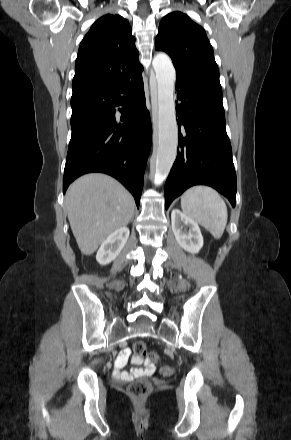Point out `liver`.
<instances>
[{"mask_svg":"<svg viewBox=\"0 0 291 440\" xmlns=\"http://www.w3.org/2000/svg\"><path fill=\"white\" fill-rule=\"evenodd\" d=\"M65 206L71 230L82 254H93L113 232L132 219V195L114 178L91 173L67 190Z\"/></svg>","mask_w":291,"mask_h":440,"instance_id":"6515ba94","label":"liver"}]
</instances>
